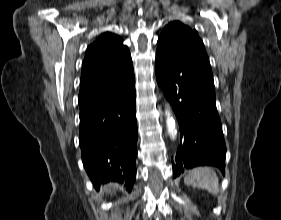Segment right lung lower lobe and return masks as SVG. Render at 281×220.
<instances>
[{
	"label": "right lung lower lobe",
	"mask_w": 281,
	"mask_h": 220,
	"mask_svg": "<svg viewBox=\"0 0 281 220\" xmlns=\"http://www.w3.org/2000/svg\"><path fill=\"white\" fill-rule=\"evenodd\" d=\"M135 79L120 89L79 100L82 161L98 188L110 181L135 182L137 121Z\"/></svg>",
	"instance_id": "98d812e1"
}]
</instances>
